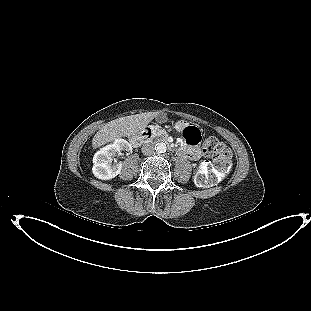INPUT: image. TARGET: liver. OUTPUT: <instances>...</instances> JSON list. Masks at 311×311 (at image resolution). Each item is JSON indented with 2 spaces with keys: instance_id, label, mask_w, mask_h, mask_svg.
I'll return each mask as SVG.
<instances>
[{
  "instance_id": "6515ba94",
  "label": "liver",
  "mask_w": 311,
  "mask_h": 311,
  "mask_svg": "<svg viewBox=\"0 0 311 311\" xmlns=\"http://www.w3.org/2000/svg\"><path fill=\"white\" fill-rule=\"evenodd\" d=\"M157 115L156 112H147L108 122L94 135L92 147L96 149L116 138L139 135Z\"/></svg>"
}]
</instances>
